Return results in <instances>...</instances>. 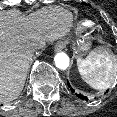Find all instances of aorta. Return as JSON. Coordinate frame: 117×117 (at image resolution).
I'll return each mask as SVG.
<instances>
[{
    "label": "aorta",
    "mask_w": 117,
    "mask_h": 117,
    "mask_svg": "<svg viewBox=\"0 0 117 117\" xmlns=\"http://www.w3.org/2000/svg\"><path fill=\"white\" fill-rule=\"evenodd\" d=\"M54 62L56 67L62 70L66 69L70 63L68 55L64 52L57 53L54 57Z\"/></svg>",
    "instance_id": "1"
}]
</instances>
